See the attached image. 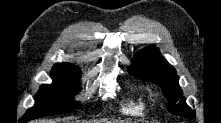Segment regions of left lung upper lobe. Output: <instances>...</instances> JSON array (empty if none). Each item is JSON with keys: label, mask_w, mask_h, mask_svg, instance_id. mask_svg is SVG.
I'll use <instances>...</instances> for the list:
<instances>
[{"label": "left lung upper lobe", "mask_w": 221, "mask_h": 123, "mask_svg": "<svg viewBox=\"0 0 221 123\" xmlns=\"http://www.w3.org/2000/svg\"><path fill=\"white\" fill-rule=\"evenodd\" d=\"M128 72L138 79L150 81L160 86L167 100L170 101L167 104V109L172 114L194 116L182 96L176 70L161 56L158 48L148 46L138 52L133 58V64L128 67Z\"/></svg>", "instance_id": "1"}]
</instances>
